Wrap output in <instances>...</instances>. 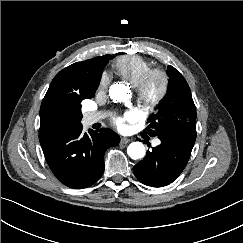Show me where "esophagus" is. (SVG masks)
<instances>
[{"mask_svg":"<svg viewBox=\"0 0 243 243\" xmlns=\"http://www.w3.org/2000/svg\"><path fill=\"white\" fill-rule=\"evenodd\" d=\"M130 141H131V139L126 138V137H122V138L120 139V143H121V144H127V143H129Z\"/></svg>","mask_w":243,"mask_h":243,"instance_id":"34e87169","label":"esophagus"}]
</instances>
